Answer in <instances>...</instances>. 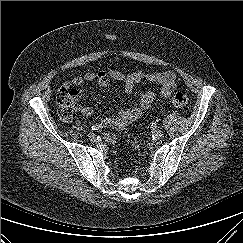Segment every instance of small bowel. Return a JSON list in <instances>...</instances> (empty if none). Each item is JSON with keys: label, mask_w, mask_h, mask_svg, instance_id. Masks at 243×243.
Returning <instances> with one entry per match:
<instances>
[{"label": "small bowel", "mask_w": 243, "mask_h": 243, "mask_svg": "<svg viewBox=\"0 0 243 243\" xmlns=\"http://www.w3.org/2000/svg\"><path fill=\"white\" fill-rule=\"evenodd\" d=\"M110 80L122 82L126 93H131L135 86L143 80H148L161 86L160 96L169 97L176 88V75L172 71H163L148 73L142 70H137L131 73H122L118 70L87 72L82 76H76L69 81H66L64 86L70 89L72 86L79 87L85 82L96 81L101 87H106ZM76 100L80 99V94L77 90H72ZM155 99V93L152 91L144 92L139 101L127 108L120 110L117 115L108 116L102 120V125L107 128L119 130L126 127L128 124L137 119L143 111L147 110ZM77 110L84 116L92 114V108L88 106H77ZM108 142H113L112 136H107Z\"/></svg>", "instance_id": "obj_1"}]
</instances>
